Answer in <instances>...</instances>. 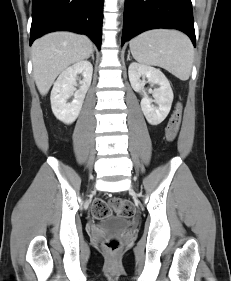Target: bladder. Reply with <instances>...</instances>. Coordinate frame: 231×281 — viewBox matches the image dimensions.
Listing matches in <instances>:
<instances>
[{"mask_svg":"<svg viewBox=\"0 0 231 281\" xmlns=\"http://www.w3.org/2000/svg\"><path fill=\"white\" fill-rule=\"evenodd\" d=\"M131 226L129 219L125 217H106L100 223V227L107 231H123Z\"/></svg>","mask_w":231,"mask_h":281,"instance_id":"obj_1","label":"bladder"}]
</instances>
